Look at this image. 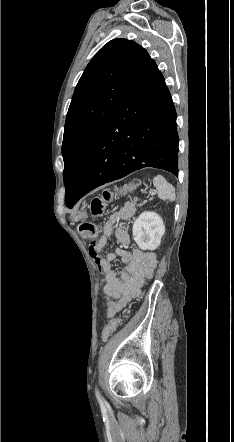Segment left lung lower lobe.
Instances as JSON below:
<instances>
[{"label":"left lung lower lobe","instance_id":"0a47b994","mask_svg":"<svg viewBox=\"0 0 234 442\" xmlns=\"http://www.w3.org/2000/svg\"><path fill=\"white\" fill-rule=\"evenodd\" d=\"M176 111L164 77L151 59L99 132L73 205L92 189L144 167L178 175Z\"/></svg>","mask_w":234,"mask_h":442}]
</instances>
